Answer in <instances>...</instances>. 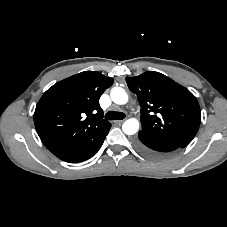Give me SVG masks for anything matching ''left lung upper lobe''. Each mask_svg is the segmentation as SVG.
I'll return each mask as SVG.
<instances>
[{"label": "left lung upper lobe", "instance_id": "obj_1", "mask_svg": "<svg viewBox=\"0 0 227 227\" xmlns=\"http://www.w3.org/2000/svg\"><path fill=\"white\" fill-rule=\"evenodd\" d=\"M129 89L141 106L140 133L186 147L201 122L196 97L169 77L154 71L127 77Z\"/></svg>", "mask_w": 227, "mask_h": 227}]
</instances>
